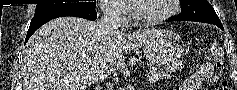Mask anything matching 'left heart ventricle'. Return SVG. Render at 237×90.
I'll use <instances>...</instances> for the list:
<instances>
[{"mask_svg":"<svg viewBox=\"0 0 237 90\" xmlns=\"http://www.w3.org/2000/svg\"><path fill=\"white\" fill-rule=\"evenodd\" d=\"M136 8L141 16L154 17L165 11L167 0L136 1Z\"/></svg>","mask_w":237,"mask_h":90,"instance_id":"obj_1","label":"left heart ventricle"}]
</instances>
